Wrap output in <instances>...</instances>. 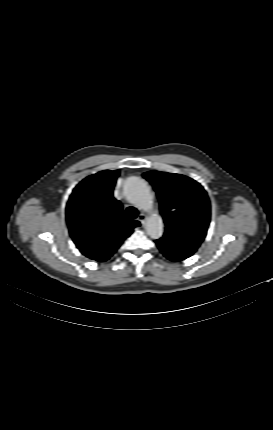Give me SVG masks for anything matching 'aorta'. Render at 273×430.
Returning <instances> with one entry per match:
<instances>
[{"label": "aorta", "instance_id": "762f6f07", "mask_svg": "<svg viewBox=\"0 0 273 430\" xmlns=\"http://www.w3.org/2000/svg\"><path fill=\"white\" fill-rule=\"evenodd\" d=\"M124 191L127 199L141 210L150 212L146 230L152 239L162 237L164 232L163 220L160 215L153 212V196L148 184L139 177H130L126 181Z\"/></svg>", "mask_w": 273, "mask_h": 430}]
</instances>
